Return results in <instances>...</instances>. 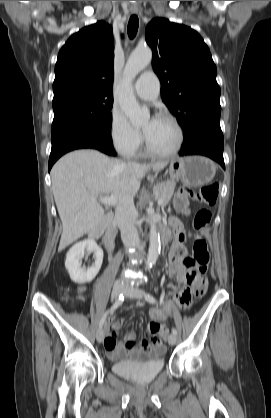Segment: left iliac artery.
Returning a JSON list of instances; mask_svg holds the SVG:
<instances>
[{
	"label": "left iliac artery",
	"instance_id": "44dca946",
	"mask_svg": "<svg viewBox=\"0 0 271 418\" xmlns=\"http://www.w3.org/2000/svg\"><path fill=\"white\" fill-rule=\"evenodd\" d=\"M145 299H146V301H148L151 304L156 303V299L151 294H149V293H146L145 294ZM172 333L174 335H177L178 334V332H177V330L175 328H172Z\"/></svg>",
	"mask_w": 271,
	"mask_h": 418
}]
</instances>
